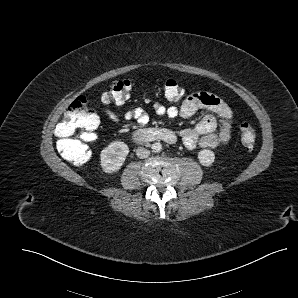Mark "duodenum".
<instances>
[{
  "mask_svg": "<svg viewBox=\"0 0 298 298\" xmlns=\"http://www.w3.org/2000/svg\"><path fill=\"white\" fill-rule=\"evenodd\" d=\"M133 139L138 143L163 141L172 144L176 141V136L166 129H147L136 131L133 134Z\"/></svg>",
  "mask_w": 298,
  "mask_h": 298,
  "instance_id": "1",
  "label": "duodenum"
}]
</instances>
